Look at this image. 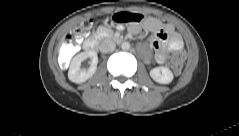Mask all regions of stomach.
Wrapping results in <instances>:
<instances>
[{
    "mask_svg": "<svg viewBox=\"0 0 239 136\" xmlns=\"http://www.w3.org/2000/svg\"><path fill=\"white\" fill-rule=\"evenodd\" d=\"M145 15L141 13H131L130 11L116 12L112 14L113 24L134 25L143 24Z\"/></svg>",
    "mask_w": 239,
    "mask_h": 136,
    "instance_id": "1",
    "label": "stomach"
}]
</instances>
